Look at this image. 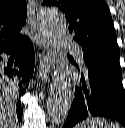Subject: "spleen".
I'll return each mask as SVG.
<instances>
[{
	"label": "spleen",
	"mask_w": 125,
	"mask_h": 128,
	"mask_svg": "<svg viewBox=\"0 0 125 128\" xmlns=\"http://www.w3.org/2000/svg\"><path fill=\"white\" fill-rule=\"evenodd\" d=\"M76 128H121L119 124L107 121L103 118L89 117L79 123Z\"/></svg>",
	"instance_id": "3e777b00"
}]
</instances>
